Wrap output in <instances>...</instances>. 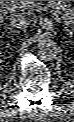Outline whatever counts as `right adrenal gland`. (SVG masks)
I'll list each match as a JSON object with an SVG mask.
<instances>
[{
	"instance_id": "2a0ac1e0",
	"label": "right adrenal gland",
	"mask_w": 74,
	"mask_h": 122,
	"mask_svg": "<svg viewBox=\"0 0 74 122\" xmlns=\"http://www.w3.org/2000/svg\"><path fill=\"white\" fill-rule=\"evenodd\" d=\"M6 30H10L12 33H16L17 31L13 30L11 27H7Z\"/></svg>"
}]
</instances>
